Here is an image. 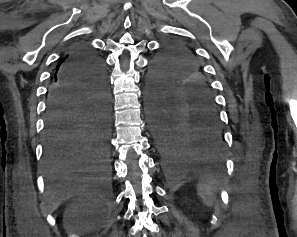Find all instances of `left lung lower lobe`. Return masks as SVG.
Wrapping results in <instances>:
<instances>
[{
	"mask_svg": "<svg viewBox=\"0 0 297 237\" xmlns=\"http://www.w3.org/2000/svg\"><path fill=\"white\" fill-rule=\"evenodd\" d=\"M148 110L156 146L169 166L221 169L225 140L213 102L149 99Z\"/></svg>",
	"mask_w": 297,
	"mask_h": 237,
	"instance_id": "1",
	"label": "left lung lower lobe"
}]
</instances>
